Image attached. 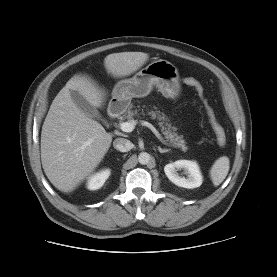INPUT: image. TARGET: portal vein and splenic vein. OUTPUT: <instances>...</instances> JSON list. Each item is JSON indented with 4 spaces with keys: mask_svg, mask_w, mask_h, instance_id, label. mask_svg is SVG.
Here are the masks:
<instances>
[{
    "mask_svg": "<svg viewBox=\"0 0 277 277\" xmlns=\"http://www.w3.org/2000/svg\"><path fill=\"white\" fill-rule=\"evenodd\" d=\"M135 125H136V121H134V120H131L128 122H122L120 124V129L123 132H132L135 129ZM141 125L149 128L161 142L165 143V140L162 138L161 134L157 131V129L151 123H149L147 121H141Z\"/></svg>",
    "mask_w": 277,
    "mask_h": 277,
    "instance_id": "obj_1",
    "label": "portal vein and splenic vein"
}]
</instances>
